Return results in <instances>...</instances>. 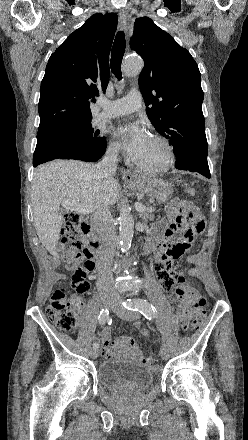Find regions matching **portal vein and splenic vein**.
<instances>
[{
    "label": "portal vein and splenic vein",
    "instance_id": "18ae733b",
    "mask_svg": "<svg viewBox=\"0 0 248 440\" xmlns=\"http://www.w3.org/2000/svg\"><path fill=\"white\" fill-rule=\"evenodd\" d=\"M61 205L66 209V210H70V211H76L78 213L81 214H88L92 212V209L86 205V204H81L79 203V201L77 200H70V199H66L63 200L61 202ZM135 208L137 209V211L139 212H144L145 211V206L142 205L139 202L135 203Z\"/></svg>",
    "mask_w": 248,
    "mask_h": 440
}]
</instances>
